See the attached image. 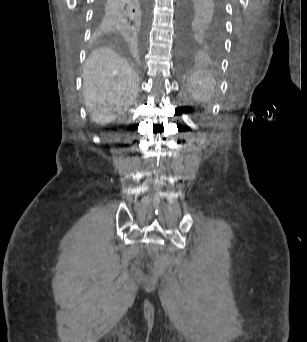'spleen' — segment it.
Segmentation results:
<instances>
[{
  "instance_id": "1",
  "label": "spleen",
  "mask_w": 307,
  "mask_h": 342,
  "mask_svg": "<svg viewBox=\"0 0 307 342\" xmlns=\"http://www.w3.org/2000/svg\"><path fill=\"white\" fill-rule=\"evenodd\" d=\"M188 83L192 84L193 96L196 100L206 102V100L213 98L216 80L208 72H200V74H196L194 77H189Z\"/></svg>"
}]
</instances>
